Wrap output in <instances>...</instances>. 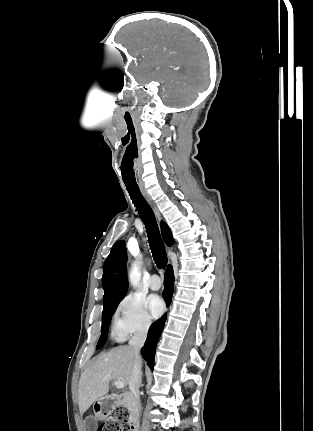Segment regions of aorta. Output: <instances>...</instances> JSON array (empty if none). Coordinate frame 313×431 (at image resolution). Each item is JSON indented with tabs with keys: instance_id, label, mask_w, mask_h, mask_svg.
Instances as JSON below:
<instances>
[{
	"instance_id": "aorta-1",
	"label": "aorta",
	"mask_w": 313,
	"mask_h": 431,
	"mask_svg": "<svg viewBox=\"0 0 313 431\" xmlns=\"http://www.w3.org/2000/svg\"><path fill=\"white\" fill-rule=\"evenodd\" d=\"M140 280H141V272H140L139 263L135 262L132 265L131 271L129 273V281L134 287H137L140 283Z\"/></svg>"
}]
</instances>
